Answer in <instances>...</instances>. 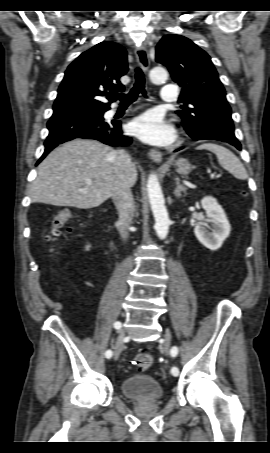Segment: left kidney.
<instances>
[{"label":"left kidney","mask_w":270,"mask_h":453,"mask_svg":"<svg viewBox=\"0 0 270 453\" xmlns=\"http://www.w3.org/2000/svg\"><path fill=\"white\" fill-rule=\"evenodd\" d=\"M201 205L206 212L207 219L195 226L194 234L203 246L211 251H216L229 236L231 226L223 208L215 198L204 197L201 200Z\"/></svg>","instance_id":"1"}]
</instances>
